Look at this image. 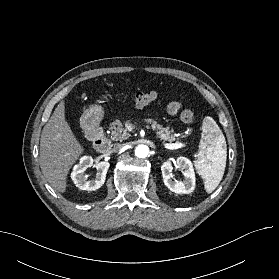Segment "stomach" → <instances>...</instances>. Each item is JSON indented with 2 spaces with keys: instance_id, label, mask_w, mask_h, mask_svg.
Masks as SVG:
<instances>
[{
  "instance_id": "0dacf381",
  "label": "stomach",
  "mask_w": 279,
  "mask_h": 279,
  "mask_svg": "<svg viewBox=\"0 0 279 279\" xmlns=\"http://www.w3.org/2000/svg\"><path fill=\"white\" fill-rule=\"evenodd\" d=\"M104 116V110L99 105H93L82 116V124L85 128H94L99 125Z\"/></svg>"
}]
</instances>
